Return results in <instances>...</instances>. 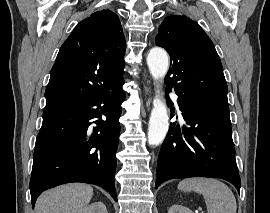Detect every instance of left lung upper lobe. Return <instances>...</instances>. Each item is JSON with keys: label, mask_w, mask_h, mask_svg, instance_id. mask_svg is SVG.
Returning a JSON list of instances; mask_svg holds the SVG:
<instances>
[{"label": "left lung upper lobe", "mask_w": 270, "mask_h": 213, "mask_svg": "<svg viewBox=\"0 0 270 213\" xmlns=\"http://www.w3.org/2000/svg\"><path fill=\"white\" fill-rule=\"evenodd\" d=\"M155 43L170 55L171 68L165 77L168 89L229 107L220 58L198 23L170 15L160 25Z\"/></svg>", "instance_id": "1"}]
</instances>
